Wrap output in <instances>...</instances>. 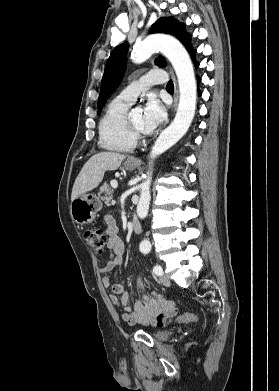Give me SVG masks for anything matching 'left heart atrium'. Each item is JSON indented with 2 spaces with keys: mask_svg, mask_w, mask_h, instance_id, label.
Returning a JSON list of instances; mask_svg holds the SVG:
<instances>
[{
  "mask_svg": "<svg viewBox=\"0 0 279 391\" xmlns=\"http://www.w3.org/2000/svg\"><path fill=\"white\" fill-rule=\"evenodd\" d=\"M166 112L160 101L150 96L143 109V126L146 133L153 132L165 119Z\"/></svg>",
  "mask_w": 279,
  "mask_h": 391,
  "instance_id": "39dd6f15",
  "label": "left heart atrium"
}]
</instances>
